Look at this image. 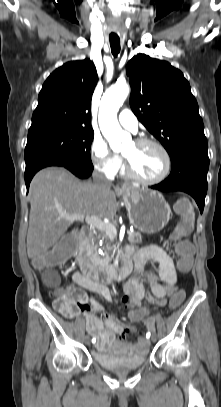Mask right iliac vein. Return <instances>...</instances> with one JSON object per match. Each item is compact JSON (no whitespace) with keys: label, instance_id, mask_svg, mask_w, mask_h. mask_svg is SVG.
<instances>
[{"label":"right iliac vein","instance_id":"63e3f726","mask_svg":"<svg viewBox=\"0 0 221 407\" xmlns=\"http://www.w3.org/2000/svg\"><path fill=\"white\" fill-rule=\"evenodd\" d=\"M84 342H85V344H87V345L90 344V337H89L88 335H86V336L84 337Z\"/></svg>","mask_w":221,"mask_h":407}]
</instances>
